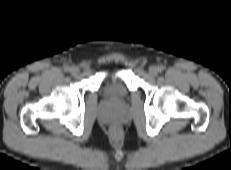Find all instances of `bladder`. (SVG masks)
Wrapping results in <instances>:
<instances>
[{
  "label": "bladder",
  "instance_id": "31cf9c89",
  "mask_svg": "<svg viewBox=\"0 0 231 170\" xmlns=\"http://www.w3.org/2000/svg\"><path fill=\"white\" fill-rule=\"evenodd\" d=\"M104 94L113 101H121L127 96V89L120 80H109L104 85Z\"/></svg>",
  "mask_w": 231,
  "mask_h": 170
}]
</instances>
